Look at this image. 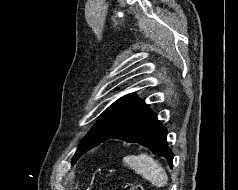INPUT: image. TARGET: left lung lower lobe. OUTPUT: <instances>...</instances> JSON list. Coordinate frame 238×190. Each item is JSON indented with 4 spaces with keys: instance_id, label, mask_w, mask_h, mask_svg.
<instances>
[{
    "instance_id": "0a47b994",
    "label": "left lung lower lobe",
    "mask_w": 238,
    "mask_h": 190,
    "mask_svg": "<svg viewBox=\"0 0 238 190\" xmlns=\"http://www.w3.org/2000/svg\"><path fill=\"white\" fill-rule=\"evenodd\" d=\"M166 137L167 130L157 119V115L144 100L139 99L122 113L102 142L115 138L138 143L166 158L172 167L174 155L167 145Z\"/></svg>"
}]
</instances>
